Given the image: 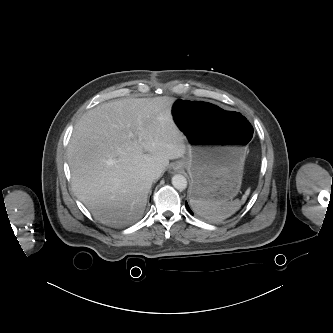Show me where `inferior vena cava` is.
<instances>
[{"label":"inferior vena cava","instance_id":"inferior-vena-cava-1","mask_svg":"<svg viewBox=\"0 0 333 333\" xmlns=\"http://www.w3.org/2000/svg\"><path fill=\"white\" fill-rule=\"evenodd\" d=\"M160 175V172L154 170H145L141 173V177L147 180H155Z\"/></svg>","mask_w":333,"mask_h":333}]
</instances>
